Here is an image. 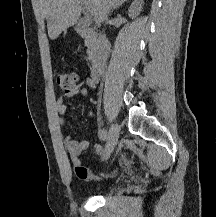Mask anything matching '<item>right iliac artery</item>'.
Masks as SVG:
<instances>
[{
  "label": "right iliac artery",
  "instance_id": "right-iliac-artery-1",
  "mask_svg": "<svg viewBox=\"0 0 216 217\" xmlns=\"http://www.w3.org/2000/svg\"><path fill=\"white\" fill-rule=\"evenodd\" d=\"M100 136H101V139L103 141L107 140V136H108L107 130L106 129H102Z\"/></svg>",
  "mask_w": 216,
  "mask_h": 217
}]
</instances>
